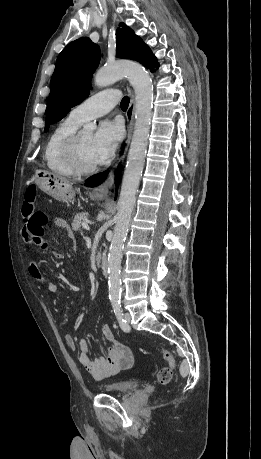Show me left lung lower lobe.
Segmentation results:
<instances>
[{"instance_id":"obj_1","label":"left lung lower lobe","mask_w":261,"mask_h":459,"mask_svg":"<svg viewBox=\"0 0 261 459\" xmlns=\"http://www.w3.org/2000/svg\"><path fill=\"white\" fill-rule=\"evenodd\" d=\"M107 173L108 172L106 171V172H103V173H100V174H97V175L91 177L88 181H86L85 186H89V187L98 186L99 184H101L105 180V177L107 176ZM118 176H119V173L116 176V183L117 184H118Z\"/></svg>"}]
</instances>
